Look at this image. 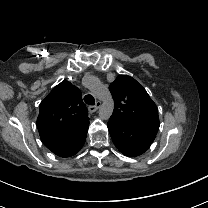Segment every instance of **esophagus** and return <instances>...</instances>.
<instances>
[{
    "instance_id": "esophagus-1",
    "label": "esophagus",
    "mask_w": 208,
    "mask_h": 208,
    "mask_svg": "<svg viewBox=\"0 0 208 208\" xmlns=\"http://www.w3.org/2000/svg\"><path fill=\"white\" fill-rule=\"evenodd\" d=\"M100 106H101V102L100 101H98L95 106H89L88 107L89 113L90 114L94 113L95 111H97L100 108Z\"/></svg>"
}]
</instances>
